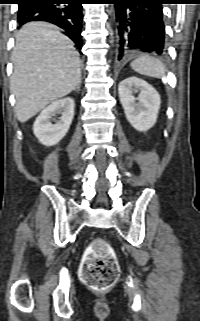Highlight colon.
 <instances>
[{
    "mask_svg": "<svg viewBox=\"0 0 200 321\" xmlns=\"http://www.w3.org/2000/svg\"><path fill=\"white\" fill-rule=\"evenodd\" d=\"M83 282L94 290L109 288L119 275V266L112 247L103 239L88 247L81 265Z\"/></svg>",
    "mask_w": 200,
    "mask_h": 321,
    "instance_id": "5ec220e1",
    "label": "colon"
}]
</instances>
